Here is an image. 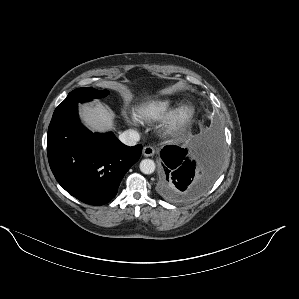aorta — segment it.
<instances>
[{
  "label": "aorta",
  "instance_id": "obj_1",
  "mask_svg": "<svg viewBox=\"0 0 299 299\" xmlns=\"http://www.w3.org/2000/svg\"><path fill=\"white\" fill-rule=\"evenodd\" d=\"M155 163L151 159H143L140 162V170L144 174H151L155 171Z\"/></svg>",
  "mask_w": 299,
  "mask_h": 299
}]
</instances>
